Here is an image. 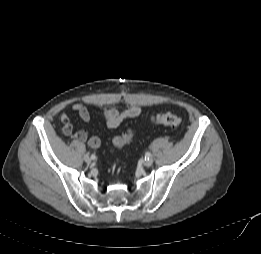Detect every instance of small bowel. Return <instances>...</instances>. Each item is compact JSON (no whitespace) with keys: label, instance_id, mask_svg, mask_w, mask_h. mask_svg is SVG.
<instances>
[{"label":"small bowel","instance_id":"c3829d8e","mask_svg":"<svg viewBox=\"0 0 261 254\" xmlns=\"http://www.w3.org/2000/svg\"><path fill=\"white\" fill-rule=\"evenodd\" d=\"M72 112L77 114L85 123H88L91 119V113L87 106L83 103L79 102L73 104ZM102 112L107 128L114 129L117 128L124 120L140 116L142 109L139 106H131L123 111H119L116 108L104 107ZM60 120L62 123V133L65 136L73 137L78 141L87 142L89 147L92 149H98L100 147L101 141L99 137H89L85 130L74 131L70 118L66 113L61 114Z\"/></svg>","mask_w":261,"mask_h":254}]
</instances>
